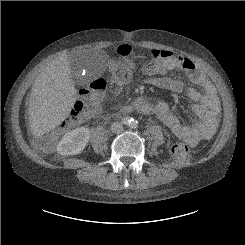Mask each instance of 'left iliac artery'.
<instances>
[{
    "label": "left iliac artery",
    "instance_id": "obj_1",
    "mask_svg": "<svg viewBox=\"0 0 245 245\" xmlns=\"http://www.w3.org/2000/svg\"><path fill=\"white\" fill-rule=\"evenodd\" d=\"M131 124H135V121L134 120H131Z\"/></svg>",
    "mask_w": 245,
    "mask_h": 245
}]
</instances>
